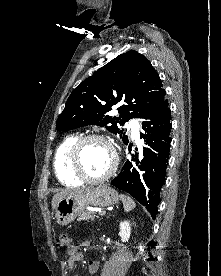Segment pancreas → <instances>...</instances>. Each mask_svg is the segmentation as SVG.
Segmentation results:
<instances>
[{
	"label": "pancreas",
	"instance_id": "obj_1",
	"mask_svg": "<svg viewBox=\"0 0 221 276\" xmlns=\"http://www.w3.org/2000/svg\"><path fill=\"white\" fill-rule=\"evenodd\" d=\"M94 219H95V215L90 211L83 212L78 218V220H83V221H89Z\"/></svg>",
	"mask_w": 221,
	"mask_h": 276
}]
</instances>
